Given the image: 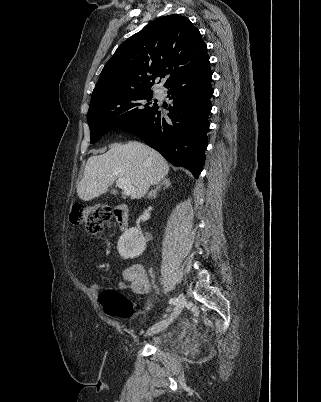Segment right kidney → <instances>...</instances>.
I'll list each match as a JSON object with an SVG mask.
<instances>
[{
    "label": "right kidney",
    "instance_id": "1",
    "mask_svg": "<svg viewBox=\"0 0 321 402\" xmlns=\"http://www.w3.org/2000/svg\"><path fill=\"white\" fill-rule=\"evenodd\" d=\"M145 247V237L141 231L134 227L122 234L117 245L118 252L123 259H133L140 256Z\"/></svg>",
    "mask_w": 321,
    "mask_h": 402
}]
</instances>
